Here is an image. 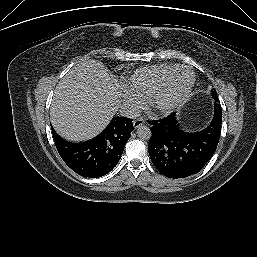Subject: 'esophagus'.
I'll list each match as a JSON object with an SVG mask.
<instances>
[{
  "mask_svg": "<svg viewBox=\"0 0 257 257\" xmlns=\"http://www.w3.org/2000/svg\"><path fill=\"white\" fill-rule=\"evenodd\" d=\"M143 124H145V120L142 117L133 121V125H134L135 128H138L139 126H141Z\"/></svg>",
  "mask_w": 257,
  "mask_h": 257,
  "instance_id": "34e87169",
  "label": "esophagus"
}]
</instances>
